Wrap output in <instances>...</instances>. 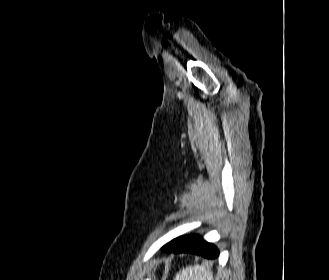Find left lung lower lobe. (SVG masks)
I'll return each mask as SVG.
<instances>
[{"label":"left lung lower lobe","mask_w":329,"mask_h":280,"mask_svg":"<svg viewBox=\"0 0 329 280\" xmlns=\"http://www.w3.org/2000/svg\"><path fill=\"white\" fill-rule=\"evenodd\" d=\"M162 250L168 253H194L209 259L216 258L219 255V252L214 245L206 242L198 235L176 238L162 247Z\"/></svg>","instance_id":"obj_1"}]
</instances>
